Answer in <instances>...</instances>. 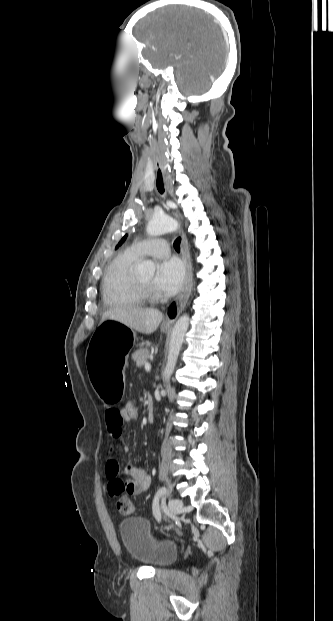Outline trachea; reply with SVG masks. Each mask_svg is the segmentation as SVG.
<instances>
[{"label": "trachea", "instance_id": "trachea-1", "mask_svg": "<svg viewBox=\"0 0 333 621\" xmlns=\"http://www.w3.org/2000/svg\"><path fill=\"white\" fill-rule=\"evenodd\" d=\"M180 243H181V238H177V239L174 241V249H175L177 252H179V251H180Z\"/></svg>", "mask_w": 333, "mask_h": 621}]
</instances>
